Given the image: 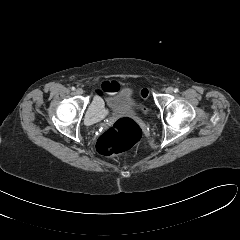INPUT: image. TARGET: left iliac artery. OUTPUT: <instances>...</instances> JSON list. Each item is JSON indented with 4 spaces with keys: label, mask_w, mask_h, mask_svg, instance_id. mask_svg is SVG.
Listing matches in <instances>:
<instances>
[{
    "label": "left iliac artery",
    "mask_w": 240,
    "mask_h": 240,
    "mask_svg": "<svg viewBox=\"0 0 240 240\" xmlns=\"http://www.w3.org/2000/svg\"><path fill=\"white\" fill-rule=\"evenodd\" d=\"M174 92H175V93L179 92V89H178V88H175V89H174Z\"/></svg>",
    "instance_id": "44dca946"
}]
</instances>
